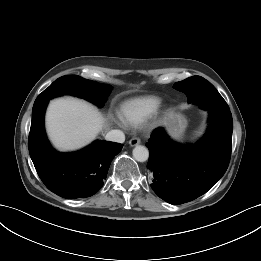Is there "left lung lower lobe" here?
Here are the masks:
<instances>
[{
    "label": "left lung lower lobe",
    "mask_w": 261,
    "mask_h": 261,
    "mask_svg": "<svg viewBox=\"0 0 261 261\" xmlns=\"http://www.w3.org/2000/svg\"><path fill=\"white\" fill-rule=\"evenodd\" d=\"M191 102L209 112L208 128L195 145H180L157 128L146 143L148 169L154 192L170 204L179 205L206 193L224 175L232 144V115L211 83L189 95Z\"/></svg>",
    "instance_id": "1"
}]
</instances>
